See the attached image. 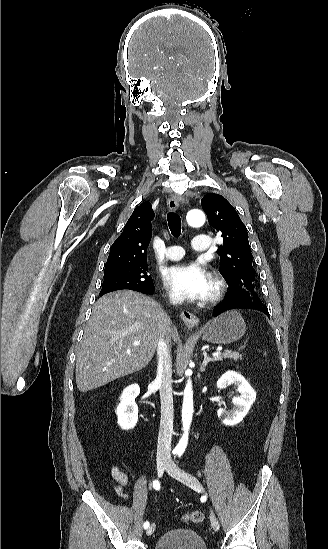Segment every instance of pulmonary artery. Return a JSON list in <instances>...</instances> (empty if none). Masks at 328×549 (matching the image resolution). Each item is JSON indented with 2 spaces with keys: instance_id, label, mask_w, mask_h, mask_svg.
<instances>
[{
  "instance_id": "obj_1",
  "label": "pulmonary artery",
  "mask_w": 328,
  "mask_h": 549,
  "mask_svg": "<svg viewBox=\"0 0 328 549\" xmlns=\"http://www.w3.org/2000/svg\"><path fill=\"white\" fill-rule=\"evenodd\" d=\"M190 244L193 246L194 250L197 252H209L211 250V243L204 237L193 238L190 241ZM187 253L185 246H174L173 250L166 251V257L169 260H178L181 257H185Z\"/></svg>"
}]
</instances>
